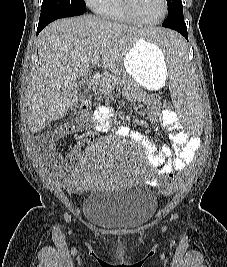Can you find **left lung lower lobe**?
<instances>
[{
  "label": "left lung lower lobe",
  "mask_w": 227,
  "mask_h": 267,
  "mask_svg": "<svg viewBox=\"0 0 227 267\" xmlns=\"http://www.w3.org/2000/svg\"><path fill=\"white\" fill-rule=\"evenodd\" d=\"M162 26L179 32L188 40L187 27L183 17V9H179L168 14V17L163 22Z\"/></svg>",
  "instance_id": "obj_1"
}]
</instances>
